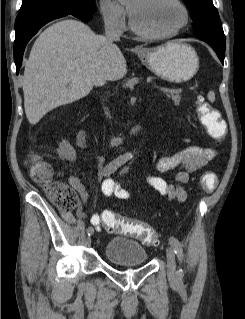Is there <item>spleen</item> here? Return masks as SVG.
Segmentation results:
<instances>
[{
	"instance_id": "obj_1",
	"label": "spleen",
	"mask_w": 245,
	"mask_h": 319,
	"mask_svg": "<svg viewBox=\"0 0 245 319\" xmlns=\"http://www.w3.org/2000/svg\"><path fill=\"white\" fill-rule=\"evenodd\" d=\"M207 97H208V100L210 102H214L215 101V93H214V91H209Z\"/></svg>"
}]
</instances>
